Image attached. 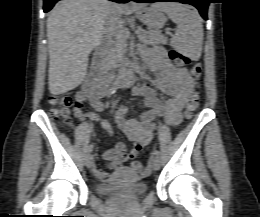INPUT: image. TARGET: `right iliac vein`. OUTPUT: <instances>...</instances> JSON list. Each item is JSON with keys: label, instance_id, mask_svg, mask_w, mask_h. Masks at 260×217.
Wrapping results in <instances>:
<instances>
[{"label": "right iliac vein", "instance_id": "1", "mask_svg": "<svg viewBox=\"0 0 260 217\" xmlns=\"http://www.w3.org/2000/svg\"><path fill=\"white\" fill-rule=\"evenodd\" d=\"M86 167L87 168H92L93 166V156L91 154H89L87 157H86Z\"/></svg>", "mask_w": 260, "mask_h": 217}]
</instances>
